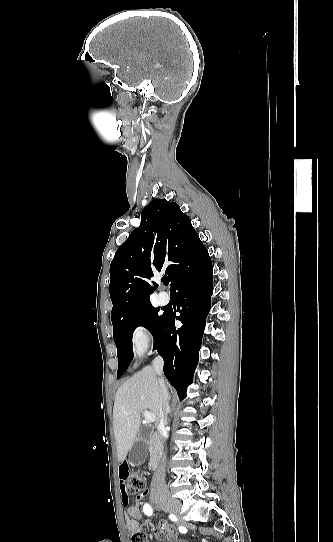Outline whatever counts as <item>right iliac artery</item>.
Returning a JSON list of instances; mask_svg holds the SVG:
<instances>
[{"label": "right iliac artery", "mask_w": 333, "mask_h": 542, "mask_svg": "<svg viewBox=\"0 0 333 542\" xmlns=\"http://www.w3.org/2000/svg\"><path fill=\"white\" fill-rule=\"evenodd\" d=\"M143 511H144L145 514L148 515V516L152 515V508L150 507L149 504H145V505H144Z\"/></svg>", "instance_id": "obj_1"}]
</instances>
